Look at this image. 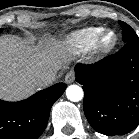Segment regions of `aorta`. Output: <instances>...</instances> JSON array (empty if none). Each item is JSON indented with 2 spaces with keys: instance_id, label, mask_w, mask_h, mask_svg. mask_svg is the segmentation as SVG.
Returning a JSON list of instances; mask_svg holds the SVG:
<instances>
[{
  "instance_id": "aorta-1",
  "label": "aorta",
  "mask_w": 139,
  "mask_h": 139,
  "mask_svg": "<svg viewBox=\"0 0 139 139\" xmlns=\"http://www.w3.org/2000/svg\"><path fill=\"white\" fill-rule=\"evenodd\" d=\"M66 96L70 101L78 102L84 97L83 89L78 85H70L66 89Z\"/></svg>"
}]
</instances>
